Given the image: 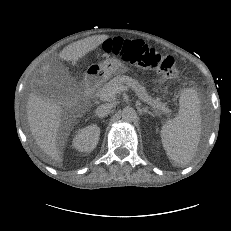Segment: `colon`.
Listing matches in <instances>:
<instances>
[{
	"instance_id": "obj_1",
	"label": "colon",
	"mask_w": 231,
	"mask_h": 231,
	"mask_svg": "<svg viewBox=\"0 0 231 231\" xmlns=\"http://www.w3.org/2000/svg\"><path fill=\"white\" fill-rule=\"evenodd\" d=\"M103 49L105 53L119 56L135 66L157 70L168 80L178 78L179 71L175 57L163 55L140 40L117 37L106 40Z\"/></svg>"
}]
</instances>
